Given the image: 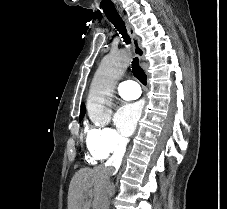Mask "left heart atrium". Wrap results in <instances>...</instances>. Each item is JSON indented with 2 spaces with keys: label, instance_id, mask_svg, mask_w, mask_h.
Here are the masks:
<instances>
[{
  "label": "left heart atrium",
  "instance_id": "left-heart-atrium-1",
  "mask_svg": "<svg viewBox=\"0 0 227 209\" xmlns=\"http://www.w3.org/2000/svg\"><path fill=\"white\" fill-rule=\"evenodd\" d=\"M144 104L141 101L123 102L115 116L121 134L131 136L142 116Z\"/></svg>",
  "mask_w": 227,
  "mask_h": 209
}]
</instances>
